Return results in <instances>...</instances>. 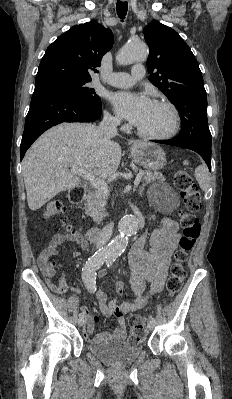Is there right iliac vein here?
<instances>
[{"label": "right iliac vein", "instance_id": "63e3f726", "mask_svg": "<svg viewBox=\"0 0 232 399\" xmlns=\"http://www.w3.org/2000/svg\"><path fill=\"white\" fill-rule=\"evenodd\" d=\"M78 325L83 326L84 325V320L83 319H78Z\"/></svg>", "mask_w": 232, "mask_h": 399}]
</instances>
